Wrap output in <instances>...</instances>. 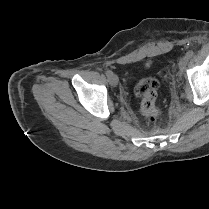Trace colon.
Returning <instances> with one entry per match:
<instances>
[{"label": "colon", "instance_id": "5ec220e1", "mask_svg": "<svg viewBox=\"0 0 209 209\" xmlns=\"http://www.w3.org/2000/svg\"><path fill=\"white\" fill-rule=\"evenodd\" d=\"M158 88V81L150 77L141 79L135 87V93L141 99L140 111L150 121H155L161 113L157 105Z\"/></svg>", "mask_w": 209, "mask_h": 209}]
</instances>
